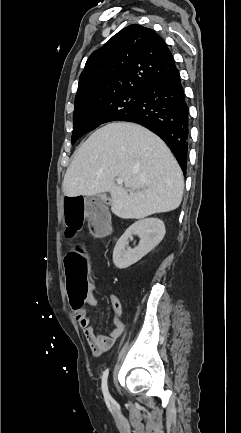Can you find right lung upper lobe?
I'll return each instance as SVG.
<instances>
[{
	"label": "right lung upper lobe",
	"instance_id": "cb5924a9",
	"mask_svg": "<svg viewBox=\"0 0 241 433\" xmlns=\"http://www.w3.org/2000/svg\"><path fill=\"white\" fill-rule=\"evenodd\" d=\"M176 69L164 40L132 24L88 58L80 75L75 104L127 91H141Z\"/></svg>",
	"mask_w": 241,
	"mask_h": 433
}]
</instances>
